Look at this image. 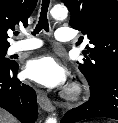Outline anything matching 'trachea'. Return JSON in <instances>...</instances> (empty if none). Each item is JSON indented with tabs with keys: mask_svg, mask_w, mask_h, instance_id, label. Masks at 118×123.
<instances>
[{
	"mask_svg": "<svg viewBox=\"0 0 118 123\" xmlns=\"http://www.w3.org/2000/svg\"><path fill=\"white\" fill-rule=\"evenodd\" d=\"M49 3H50L49 0L42 1L39 21H38L36 28L34 29V32H32L33 35L38 34L41 30H45L47 32L49 31V23H48V19H47ZM14 34L18 35L19 32H15Z\"/></svg>",
	"mask_w": 118,
	"mask_h": 123,
	"instance_id": "3493384b",
	"label": "trachea"
}]
</instances>
